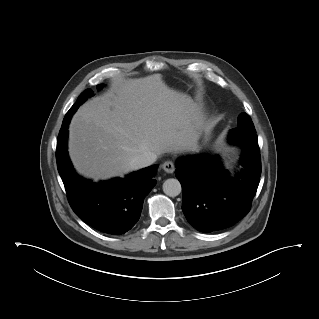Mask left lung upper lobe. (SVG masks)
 Instances as JSON below:
<instances>
[{"mask_svg":"<svg viewBox=\"0 0 319 319\" xmlns=\"http://www.w3.org/2000/svg\"><path fill=\"white\" fill-rule=\"evenodd\" d=\"M238 126L237 128L246 129L249 131H255L253 122L251 118L246 113H241L238 116Z\"/></svg>","mask_w":319,"mask_h":319,"instance_id":"5c2ea615","label":"left lung upper lobe"}]
</instances>
